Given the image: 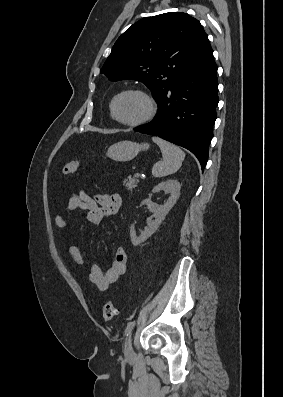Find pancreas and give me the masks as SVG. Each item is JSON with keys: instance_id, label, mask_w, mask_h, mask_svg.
I'll return each mask as SVG.
<instances>
[{"instance_id": "obj_1", "label": "pancreas", "mask_w": 283, "mask_h": 397, "mask_svg": "<svg viewBox=\"0 0 283 397\" xmlns=\"http://www.w3.org/2000/svg\"><path fill=\"white\" fill-rule=\"evenodd\" d=\"M139 180L134 177H129L128 179L124 180V186L127 187L129 190H133L137 187Z\"/></svg>"}]
</instances>
